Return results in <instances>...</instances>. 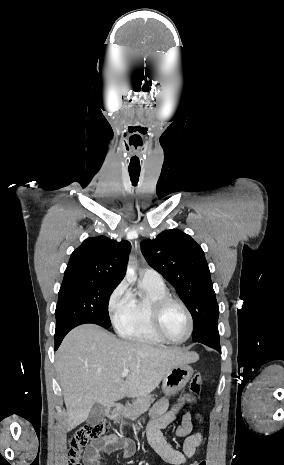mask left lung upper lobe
<instances>
[{
    "mask_svg": "<svg viewBox=\"0 0 284 465\" xmlns=\"http://www.w3.org/2000/svg\"><path fill=\"white\" fill-rule=\"evenodd\" d=\"M148 264L177 290L194 321L193 341L218 332L219 308L202 248L179 230L141 242Z\"/></svg>",
    "mask_w": 284,
    "mask_h": 465,
    "instance_id": "1",
    "label": "left lung upper lobe"
}]
</instances>
